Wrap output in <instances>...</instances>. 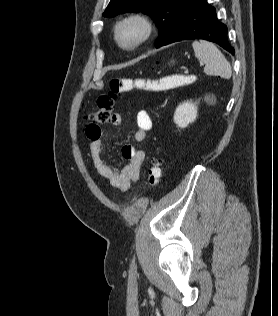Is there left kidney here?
I'll list each match as a JSON object with an SVG mask.
<instances>
[{
  "instance_id": "left-kidney-1",
  "label": "left kidney",
  "mask_w": 278,
  "mask_h": 316,
  "mask_svg": "<svg viewBox=\"0 0 278 316\" xmlns=\"http://www.w3.org/2000/svg\"><path fill=\"white\" fill-rule=\"evenodd\" d=\"M197 118V106L196 103L191 101L180 104L174 113V122L180 128L187 127L190 123H193Z\"/></svg>"
}]
</instances>
